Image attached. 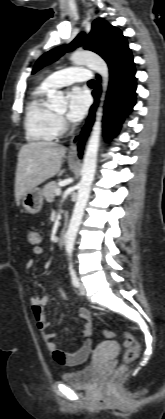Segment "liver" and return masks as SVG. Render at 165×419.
Here are the masks:
<instances>
[{"label":"liver","instance_id":"obj_1","mask_svg":"<svg viewBox=\"0 0 165 419\" xmlns=\"http://www.w3.org/2000/svg\"><path fill=\"white\" fill-rule=\"evenodd\" d=\"M66 148L54 142H31L21 147L15 178V199L21 197L55 175L61 176L62 158Z\"/></svg>","mask_w":165,"mask_h":419}]
</instances>
